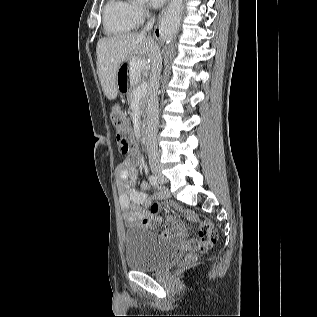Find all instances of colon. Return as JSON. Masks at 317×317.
I'll list each match as a JSON object with an SVG mask.
<instances>
[{"label":"colon","mask_w":317,"mask_h":317,"mask_svg":"<svg viewBox=\"0 0 317 317\" xmlns=\"http://www.w3.org/2000/svg\"><path fill=\"white\" fill-rule=\"evenodd\" d=\"M110 119L116 132L118 149L128 156L127 164L133 165L136 160V144L134 133L128 119L119 108H114L111 111ZM159 209L160 205L155 203L151 206L150 211L156 214ZM215 242L216 234L212 228L201 232L198 239H193L188 242L184 262L187 264L194 262L198 254L207 251Z\"/></svg>","instance_id":"obj_1"}]
</instances>
